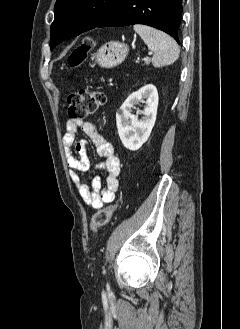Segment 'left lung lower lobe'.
I'll use <instances>...</instances> for the list:
<instances>
[{
    "label": "left lung lower lobe",
    "mask_w": 240,
    "mask_h": 329,
    "mask_svg": "<svg viewBox=\"0 0 240 329\" xmlns=\"http://www.w3.org/2000/svg\"><path fill=\"white\" fill-rule=\"evenodd\" d=\"M181 18L182 0H120L96 27L144 24L166 32L179 43Z\"/></svg>",
    "instance_id": "0a47b994"
}]
</instances>
